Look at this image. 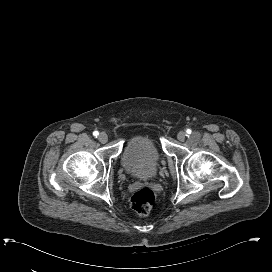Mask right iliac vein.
<instances>
[{"instance_id":"63e3f726","label":"right iliac vein","mask_w":272,"mask_h":272,"mask_svg":"<svg viewBox=\"0 0 272 272\" xmlns=\"http://www.w3.org/2000/svg\"><path fill=\"white\" fill-rule=\"evenodd\" d=\"M98 140L101 142V143H106L108 141V136L105 132H102L99 134L98 136Z\"/></svg>"}]
</instances>
